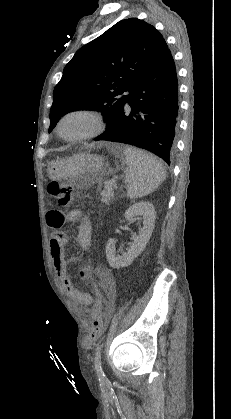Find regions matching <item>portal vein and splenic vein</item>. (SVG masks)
I'll list each match as a JSON object with an SVG mask.
<instances>
[{
	"label": "portal vein and splenic vein",
	"instance_id": "obj_1",
	"mask_svg": "<svg viewBox=\"0 0 231 419\" xmlns=\"http://www.w3.org/2000/svg\"><path fill=\"white\" fill-rule=\"evenodd\" d=\"M113 184H115V181L109 182L106 187L107 188H112Z\"/></svg>",
	"mask_w": 231,
	"mask_h": 419
}]
</instances>
